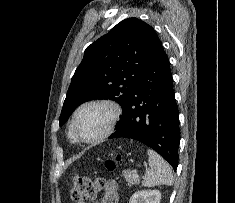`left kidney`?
Returning <instances> with one entry per match:
<instances>
[{
	"label": "left kidney",
	"mask_w": 235,
	"mask_h": 203,
	"mask_svg": "<svg viewBox=\"0 0 235 203\" xmlns=\"http://www.w3.org/2000/svg\"><path fill=\"white\" fill-rule=\"evenodd\" d=\"M160 200L159 190H141L131 196L129 203H160Z\"/></svg>",
	"instance_id": "5707ae66"
}]
</instances>
